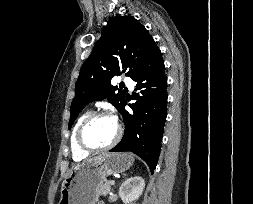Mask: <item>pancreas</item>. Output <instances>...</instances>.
<instances>
[{"label": "pancreas", "instance_id": "pancreas-1", "mask_svg": "<svg viewBox=\"0 0 253 204\" xmlns=\"http://www.w3.org/2000/svg\"><path fill=\"white\" fill-rule=\"evenodd\" d=\"M110 181L106 180L103 183L99 184L97 187V192L99 195L106 196L110 190H111V185L109 184Z\"/></svg>", "mask_w": 253, "mask_h": 204}]
</instances>
